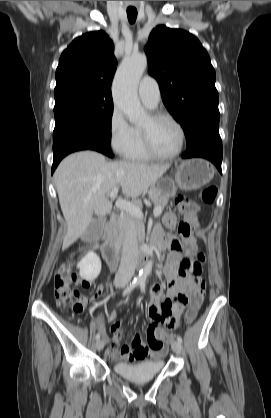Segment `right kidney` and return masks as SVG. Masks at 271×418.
Listing matches in <instances>:
<instances>
[{"label":"right kidney","mask_w":271,"mask_h":418,"mask_svg":"<svg viewBox=\"0 0 271 418\" xmlns=\"http://www.w3.org/2000/svg\"><path fill=\"white\" fill-rule=\"evenodd\" d=\"M101 267V260L93 251H88L77 264L80 276L87 281L96 279L101 272Z\"/></svg>","instance_id":"right-kidney-1"}]
</instances>
